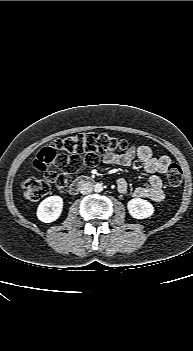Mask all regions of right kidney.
<instances>
[{
    "mask_svg": "<svg viewBox=\"0 0 193 351\" xmlns=\"http://www.w3.org/2000/svg\"><path fill=\"white\" fill-rule=\"evenodd\" d=\"M63 199L60 196H49L37 208V217L44 223L56 221L62 212Z\"/></svg>",
    "mask_w": 193,
    "mask_h": 351,
    "instance_id": "ca27d5eb",
    "label": "right kidney"
}]
</instances>
